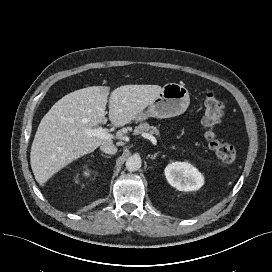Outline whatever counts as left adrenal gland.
<instances>
[{"mask_svg":"<svg viewBox=\"0 0 272 272\" xmlns=\"http://www.w3.org/2000/svg\"><path fill=\"white\" fill-rule=\"evenodd\" d=\"M159 153H160V152H157V153H155L154 155H151L150 158H151V159H155Z\"/></svg>","mask_w":272,"mask_h":272,"instance_id":"a2214340","label":"left adrenal gland"}]
</instances>
